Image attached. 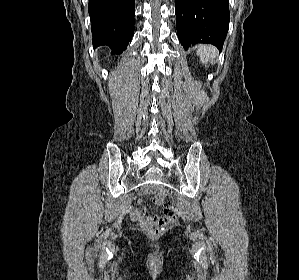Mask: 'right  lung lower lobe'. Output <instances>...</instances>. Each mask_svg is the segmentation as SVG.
Returning <instances> with one entry per match:
<instances>
[{
	"mask_svg": "<svg viewBox=\"0 0 299 280\" xmlns=\"http://www.w3.org/2000/svg\"><path fill=\"white\" fill-rule=\"evenodd\" d=\"M94 47L107 45L121 54L134 33L135 0H89Z\"/></svg>",
	"mask_w": 299,
	"mask_h": 280,
	"instance_id": "right-lung-lower-lobe-1",
	"label": "right lung lower lobe"
}]
</instances>
